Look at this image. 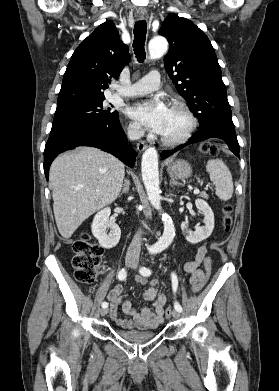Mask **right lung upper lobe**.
<instances>
[{"instance_id": "cb5924a9", "label": "right lung upper lobe", "mask_w": 279, "mask_h": 391, "mask_svg": "<svg viewBox=\"0 0 279 391\" xmlns=\"http://www.w3.org/2000/svg\"><path fill=\"white\" fill-rule=\"evenodd\" d=\"M128 46L112 21L99 25L76 48L65 71L57 109L104 99L103 91L129 62Z\"/></svg>"}]
</instances>
